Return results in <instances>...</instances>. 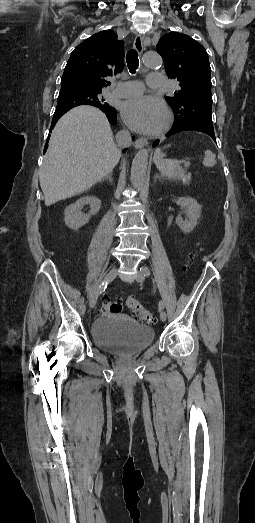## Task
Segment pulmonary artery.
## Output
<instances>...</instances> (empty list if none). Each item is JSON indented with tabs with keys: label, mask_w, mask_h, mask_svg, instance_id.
Instances as JSON below:
<instances>
[{
	"label": "pulmonary artery",
	"mask_w": 255,
	"mask_h": 523,
	"mask_svg": "<svg viewBox=\"0 0 255 523\" xmlns=\"http://www.w3.org/2000/svg\"><path fill=\"white\" fill-rule=\"evenodd\" d=\"M164 81V76L158 72H153L147 78V84L150 85L152 91H161L165 88V85L162 83ZM144 89V84L140 81H128L120 83L113 91L112 94L117 97H130L134 96L136 99L141 97V92Z\"/></svg>",
	"instance_id": "1"
}]
</instances>
